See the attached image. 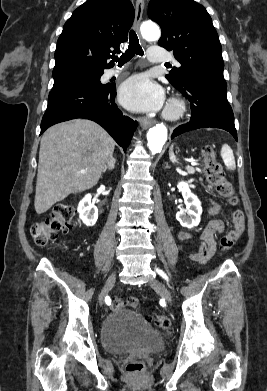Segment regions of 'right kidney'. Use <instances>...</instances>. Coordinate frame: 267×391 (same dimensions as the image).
<instances>
[{
    "mask_svg": "<svg viewBox=\"0 0 267 391\" xmlns=\"http://www.w3.org/2000/svg\"><path fill=\"white\" fill-rule=\"evenodd\" d=\"M79 217L86 226H93L98 219V209L91 203V195L87 194L79 202L78 205Z\"/></svg>",
    "mask_w": 267,
    "mask_h": 391,
    "instance_id": "ca27d5eb",
    "label": "right kidney"
}]
</instances>
